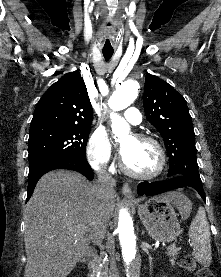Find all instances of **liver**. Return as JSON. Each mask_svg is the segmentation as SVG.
Returning a JSON list of instances; mask_svg holds the SVG:
<instances>
[{"mask_svg":"<svg viewBox=\"0 0 221 277\" xmlns=\"http://www.w3.org/2000/svg\"><path fill=\"white\" fill-rule=\"evenodd\" d=\"M97 183L69 170L45 174L25 211L24 277H67L89 250L101 242L116 206V193L102 201ZM163 198L179 205L184 196Z\"/></svg>","mask_w":221,"mask_h":277,"instance_id":"obj_1","label":"liver"}]
</instances>
